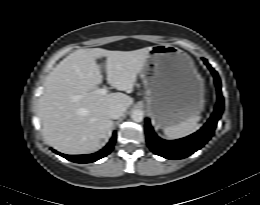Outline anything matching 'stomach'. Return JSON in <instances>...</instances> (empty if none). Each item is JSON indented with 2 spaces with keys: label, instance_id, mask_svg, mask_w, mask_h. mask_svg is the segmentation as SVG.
<instances>
[{
  "label": "stomach",
  "instance_id": "obj_1",
  "mask_svg": "<svg viewBox=\"0 0 260 205\" xmlns=\"http://www.w3.org/2000/svg\"><path fill=\"white\" fill-rule=\"evenodd\" d=\"M141 78L147 111L165 129L199 115L204 109V81L193 59L170 44L153 46Z\"/></svg>",
  "mask_w": 260,
  "mask_h": 205
}]
</instances>
